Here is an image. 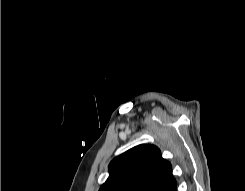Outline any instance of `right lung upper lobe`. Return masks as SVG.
<instances>
[{
  "label": "right lung upper lobe",
  "instance_id": "cb5924a9",
  "mask_svg": "<svg viewBox=\"0 0 245 191\" xmlns=\"http://www.w3.org/2000/svg\"><path fill=\"white\" fill-rule=\"evenodd\" d=\"M110 176L99 191H175L171 164L160 150L141 144L112 160Z\"/></svg>",
  "mask_w": 245,
  "mask_h": 191
}]
</instances>
